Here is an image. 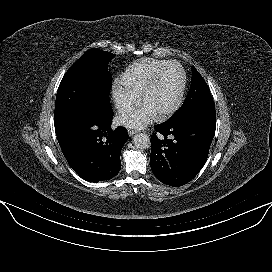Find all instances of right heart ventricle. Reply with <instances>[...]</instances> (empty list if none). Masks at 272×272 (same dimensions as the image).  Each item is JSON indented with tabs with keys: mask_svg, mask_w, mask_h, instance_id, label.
<instances>
[{
	"mask_svg": "<svg viewBox=\"0 0 272 272\" xmlns=\"http://www.w3.org/2000/svg\"><path fill=\"white\" fill-rule=\"evenodd\" d=\"M167 63L168 61L153 58L137 60L127 67L120 78V82L126 88L141 94L158 70Z\"/></svg>",
	"mask_w": 272,
	"mask_h": 272,
	"instance_id": "1",
	"label": "right heart ventricle"
}]
</instances>
